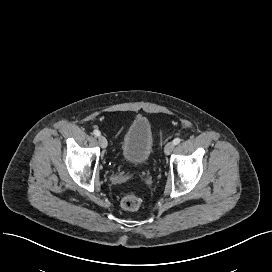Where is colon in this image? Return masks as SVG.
Instances as JSON below:
<instances>
[{"mask_svg": "<svg viewBox=\"0 0 272 272\" xmlns=\"http://www.w3.org/2000/svg\"><path fill=\"white\" fill-rule=\"evenodd\" d=\"M141 205V199L137 194L130 193L121 198L120 206L126 211H136Z\"/></svg>", "mask_w": 272, "mask_h": 272, "instance_id": "1", "label": "colon"}]
</instances>
